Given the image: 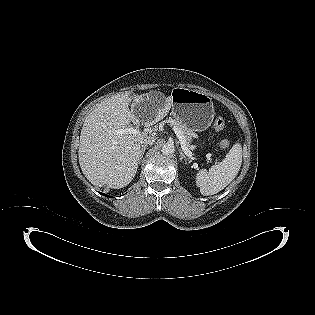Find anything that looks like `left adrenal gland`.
Listing matches in <instances>:
<instances>
[{
  "label": "left adrenal gland",
  "instance_id": "obj_1",
  "mask_svg": "<svg viewBox=\"0 0 315 315\" xmlns=\"http://www.w3.org/2000/svg\"><path fill=\"white\" fill-rule=\"evenodd\" d=\"M179 154H180V161H182V160L187 161V158H186V156L184 155V153L182 152L181 149H179Z\"/></svg>",
  "mask_w": 315,
  "mask_h": 315
}]
</instances>
